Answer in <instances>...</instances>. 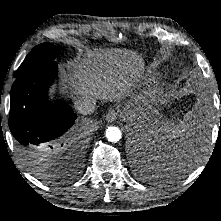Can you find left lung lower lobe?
I'll return each mask as SVG.
<instances>
[{
    "instance_id": "0a47b994",
    "label": "left lung lower lobe",
    "mask_w": 221,
    "mask_h": 221,
    "mask_svg": "<svg viewBox=\"0 0 221 221\" xmlns=\"http://www.w3.org/2000/svg\"><path fill=\"white\" fill-rule=\"evenodd\" d=\"M139 148L143 155L150 159L152 169L157 170L154 175L158 176V179L165 180L172 177H177L182 173V166L186 165L192 157V148L194 143L189 141H183L172 148L166 150L165 156L169 158L171 163L170 167H162L160 159L157 158L159 152V143L152 135L138 137ZM136 140V139H133ZM136 145V142H133ZM157 158V159H156ZM152 174H143V176L150 177Z\"/></svg>"
}]
</instances>
